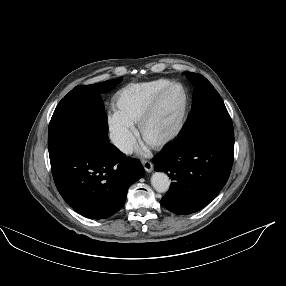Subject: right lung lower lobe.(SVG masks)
I'll list each match as a JSON object with an SVG mask.
<instances>
[{"label":"right lung lower lobe","instance_id":"1","mask_svg":"<svg viewBox=\"0 0 286 286\" xmlns=\"http://www.w3.org/2000/svg\"><path fill=\"white\" fill-rule=\"evenodd\" d=\"M49 156L60 195L76 212L90 219L108 218L117 212L124 205L130 185L144 174L137 159L126 157L114 146L112 153L106 154L80 142Z\"/></svg>","mask_w":286,"mask_h":286}]
</instances>
